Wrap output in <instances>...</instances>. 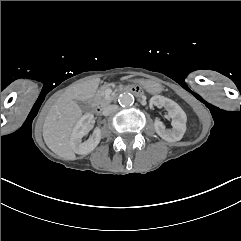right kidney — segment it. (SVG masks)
<instances>
[{
    "instance_id": "obj_1",
    "label": "right kidney",
    "mask_w": 241,
    "mask_h": 241,
    "mask_svg": "<svg viewBox=\"0 0 241 241\" xmlns=\"http://www.w3.org/2000/svg\"><path fill=\"white\" fill-rule=\"evenodd\" d=\"M93 121L94 115L86 113L75 124L70 138V145L75 153L88 154L99 144L101 140V130L99 128H95L90 138L82 142V138L88 133Z\"/></svg>"
}]
</instances>
